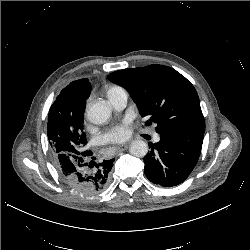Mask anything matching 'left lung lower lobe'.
<instances>
[{
  "label": "left lung lower lobe",
  "mask_w": 250,
  "mask_h": 250,
  "mask_svg": "<svg viewBox=\"0 0 250 250\" xmlns=\"http://www.w3.org/2000/svg\"><path fill=\"white\" fill-rule=\"evenodd\" d=\"M204 133H161L158 143L144 157L145 174L155 184L172 187L181 184L195 167Z\"/></svg>",
  "instance_id": "obj_1"
}]
</instances>
